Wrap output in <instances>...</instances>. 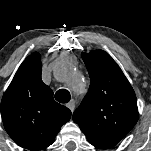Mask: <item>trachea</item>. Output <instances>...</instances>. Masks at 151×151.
Here are the masks:
<instances>
[{
  "mask_svg": "<svg viewBox=\"0 0 151 151\" xmlns=\"http://www.w3.org/2000/svg\"><path fill=\"white\" fill-rule=\"evenodd\" d=\"M55 99L60 103H68L71 99V95L66 89H59L55 93Z\"/></svg>",
  "mask_w": 151,
  "mask_h": 151,
  "instance_id": "trachea-1",
  "label": "trachea"
}]
</instances>
